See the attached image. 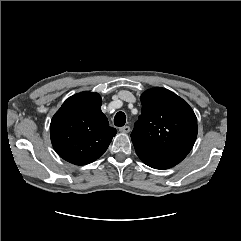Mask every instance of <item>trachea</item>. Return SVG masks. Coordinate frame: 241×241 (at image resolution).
Returning <instances> with one entry per match:
<instances>
[{
  "instance_id": "3493384b",
  "label": "trachea",
  "mask_w": 241,
  "mask_h": 241,
  "mask_svg": "<svg viewBox=\"0 0 241 241\" xmlns=\"http://www.w3.org/2000/svg\"><path fill=\"white\" fill-rule=\"evenodd\" d=\"M126 122V115L123 112H118L114 117L115 126H124Z\"/></svg>"
}]
</instances>
